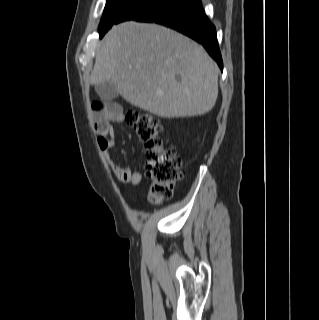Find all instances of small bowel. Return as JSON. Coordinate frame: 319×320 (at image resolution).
Listing matches in <instances>:
<instances>
[{"label": "small bowel", "mask_w": 319, "mask_h": 320, "mask_svg": "<svg viewBox=\"0 0 319 320\" xmlns=\"http://www.w3.org/2000/svg\"><path fill=\"white\" fill-rule=\"evenodd\" d=\"M94 109L96 110L94 127L97 134V146L112 174L121 182L133 186L138 185L142 179L141 172L116 164L110 156V150L115 146L116 136L112 122L119 123L124 118L121 106L116 103H107L104 106L94 103Z\"/></svg>", "instance_id": "c3829d8e"}]
</instances>
